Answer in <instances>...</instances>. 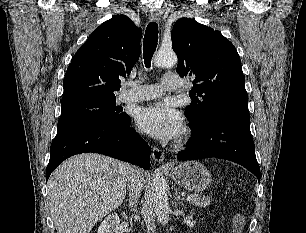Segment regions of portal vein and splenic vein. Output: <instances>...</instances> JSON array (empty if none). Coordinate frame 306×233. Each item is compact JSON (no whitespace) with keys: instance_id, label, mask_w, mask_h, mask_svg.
Returning a JSON list of instances; mask_svg holds the SVG:
<instances>
[{"instance_id":"1","label":"portal vein and splenic vein","mask_w":306,"mask_h":233,"mask_svg":"<svg viewBox=\"0 0 306 233\" xmlns=\"http://www.w3.org/2000/svg\"><path fill=\"white\" fill-rule=\"evenodd\" d=\"M186 200H187V201H191V200H192V197H191V196H187Z\"/></svg>"}]
</instances>
